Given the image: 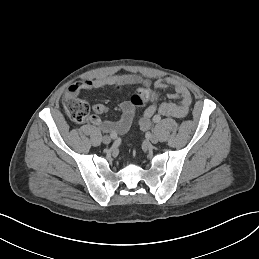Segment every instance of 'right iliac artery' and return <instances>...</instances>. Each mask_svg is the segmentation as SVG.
<instances>
[{
  "label": "right iliac artery",
  "instance_id": "obj_1",
  "mask_svg": "<svg viewBox=\"0 0 259 259\" xmlns=\"http://www.w3.org/2000/svg\"><path fill=\"white\" fill-rule=\"evenodd\" d=\"M110 137L112 139H116L117 138V134L112 132V133H110Z\"/></svg>",
  "mask_w": 259,
  "mask_h": 259
}]
</instances>
